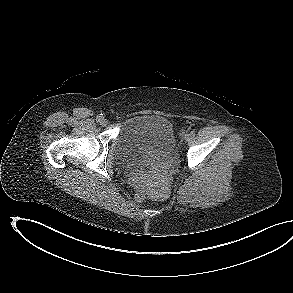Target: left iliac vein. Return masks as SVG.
<instances>
[{"label": "left iliac vein", "mask_w": 293, "mask_h": 293, "mask_svg": "<svg viewBox=\"0 0 293 293\" xmlns=\"http://www.w3.org/2000/svg\"><path fill=\"white\" fill-rule=\"evenodd\" d=\"M189 138H190V134H186L185 137H184V139H185L186 141L189 140Z\"/></svg>", "instance_id": "4c4485c4"}]
</instances>
